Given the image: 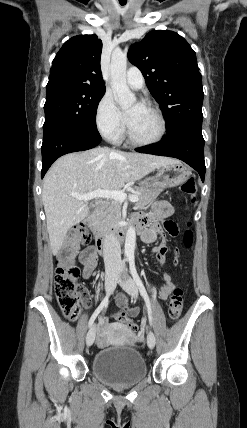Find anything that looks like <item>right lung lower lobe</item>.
Listing matches in <instances>:
<instances>
[{"label":"right lung lower lobe","instance_id":"right-lung-lower-lobe-1","mask_svg":"<svg viewBox=\"0 0 247 428\" xmlns=\"http://www.w3.org/2000/svg\"><path fill=\"white\" fill-rule=\"evenodd\" d=\"M100 142L101 136L97 130H86L65 124L45 128L41 148L42 178L51 164L60 156L91 149Z\"/></svg>","mask_w":247,"mask_h":428}]
</instances>
